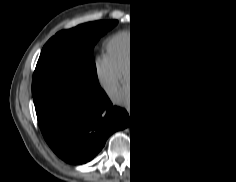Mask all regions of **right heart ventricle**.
Returning a JSON list of instances; mask_svg holds the SVG:
<instances>
[{
	"mask_svg": "<svg viewBox=\"0 0 236 182\" xmlns=\"http://www.w3.org/2000/svg\"><path fill=\"white\" fill-rule=\"evenodd\" d=\"M152 37L153 33L149 31L122 33L110 44L107 58L117 68L124 70Z\"/></svg>",
	"mask_w": 236,
	"mask_h": 182,
	"instance_id": "right-heart-ventricle-1",
	"label": "right heart ventricle"
}]
</instances>
